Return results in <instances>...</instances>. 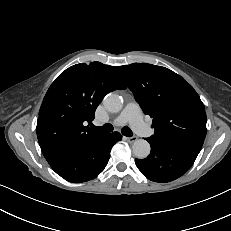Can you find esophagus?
I'll return each mask as SVG.
<instances>
[{"label":"esophagus","instance_id":"esophagus-1","mask_svg":"<svg viewBox=\"0 0 231 231\" xmlns=\"http://www.w3.org/2000/svg\"><path fill=\"white\" fill-rule=\"evenodd\" d=\"M125 139L129 142V143H133L137 140V136H132V137H125Z\"/></svg>","mask_w":231,"mask_h":231}]
</instances>
